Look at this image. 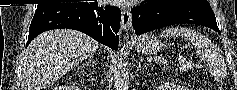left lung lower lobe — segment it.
Listing matches in <instances>:
<instances>
[{
  "label": "left lung lower lobe",
  "mask_w": 237,
  "mask_h": 90,
  "mask_svg": "<svg viewBox=\"0 0 237 90\" xmlns=\"http://www.w3.org/2000/svg\"><path fill=\"white\" fill-rule=\"evenodd\" d=\"M180 23L202 25L220 33L211 8L167 0H148L146 4L132 10V25L137 35Z\"/></svg>",
  "instance_id": "0a47b994"
}]
</instances>
